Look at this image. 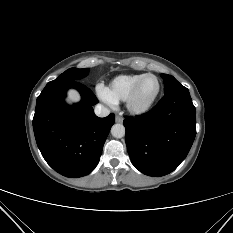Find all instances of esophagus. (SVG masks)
<instances>
[{"instance_id":"obj_1","label":"esophagus","mask_w":233,"mask_h":233,"mask_svg":"<svg viewBox=\"0 0 233 233\" xmlns=\"http://www.w3.org/2000/svg\"><path fill=\"white\" fill-rule=\"evenodd\" d=\"M115 122H116V123H122V122H123V118H122L121 116L117 115V116L115 117Z\"/></svg>"}]
</instances>
